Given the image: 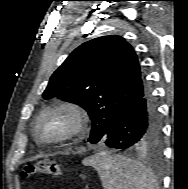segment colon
Masks as SVG:
<instances>
[{
	"label": "colon",
	"mask_w": 188,
	"mask_h": 189,
	"mask_svg": "<svg viewBox=\"0 0 188 189\" xmlns=\"http://www.w3.org/2000/svg\"><path fill=\"white\" fill-rule=\"evenodd\" d=\"M36 174L59 176L61 172L58 165L48 159L40 160L34 163H27L21 170L22 178H29L30 176Z\"/></svg>",
	"instance_id": "5ec220e1"
}]
</instances>
